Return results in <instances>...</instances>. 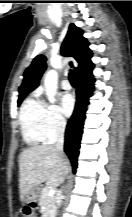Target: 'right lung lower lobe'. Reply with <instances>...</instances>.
<instances>
[{
	"label": "right lung lower lobe",
	"instance_id": "obj_1",
	"mask_svg": "<svg viewBox=\"0 0 132 217\" xmlns=\"http://www.w3.org/2000/svg\"><path fill=\"white\" fill-rule=\"evenodd\" d=\"M94 79L89 78L85 80H78L77 82V101L74 109V113L68 121L65 132V146L64 150L68 155L73 172L77 168V157L79 154L80 140L83 132V124L85 119L86 107L89 104V97L94 90Z\"/></svg>",
	"mask_w": 132,
	"mask_h": 217
}]
</instances>
